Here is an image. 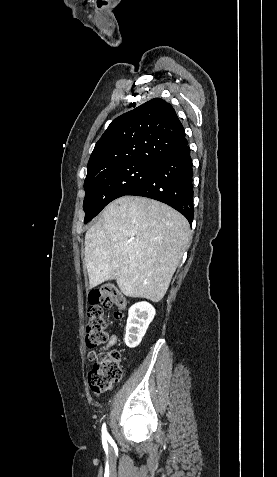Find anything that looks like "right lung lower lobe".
Returning a JSON list of instances; mask_svg holds the SVG:
<instances>
[{
	"label": "right lung lower lobe",
	"instance_id": "98d812e1",
	"mask_svg": "<svg viewBox=\"0 0 277 477\" xmlns=\"http://www.w3.org/2000/svg\"><path fill=\"white\" fill-rule=\"evenodd\" d=\"M192 177L190 148L187 144L160 160L148 177L126 195L143 196L166 203L192 224Z\"/></svg>",
	"mask_w": 277,
	"mask_h": 477
}]
</instances>
